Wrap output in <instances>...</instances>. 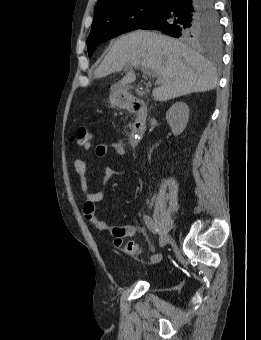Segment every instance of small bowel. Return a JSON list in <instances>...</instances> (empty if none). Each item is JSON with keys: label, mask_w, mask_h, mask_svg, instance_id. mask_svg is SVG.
Listing matches in <instances>:
<instances>
[{"label": "small bowel", "mask_w": 261, "mask_h": 340, "mask_svg": "<svg viewBox=\"0 0 261 340\" xmlns=\"http://www.w3.org/2000/svg\"><path fill=\"white\" fill-rule=\"evenodd\" d=\"M95 137L88 139L82 147L86 152H91L93 148V142ZM109 149H112L119 157H123L126 154V147L121 141H113L110 143H100L95 148V153L98 157L103 158L107 155ZM74 169L79 177L80 190L85 198L82 212L84 217L98 230L112 234L118 238L134 237L138 234H144V229L133 225H120L114 223H108L100 220L97 217L96 204L103 200L105 196V189L109 185L111 179L117 174V172L110 166L103 167V189L99 191H91L89 188L87 178V164L85 160L76 158L73 162Z\"/></svg>", "instance_id": "1"}]
</instances>
